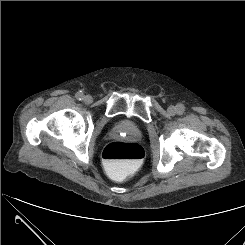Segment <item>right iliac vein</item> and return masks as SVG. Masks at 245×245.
Here are the masks:
<instances>
[{"label": "right iliac vein", "instance_id": "obj_1", "mask_svg": "<svg viewBox=\"0 0 245 245\" xmlns=\"http://www.w3.org/2000/svg\"><path fill=\"white\" fill-rule=\"evenodd\" d=\"M92 97L90 96V95H85L84 97H83V102L85 103V104H90V103H92Z\"/></svg>", "mask_w": 245, "mask_h": 245}]
</instances>
